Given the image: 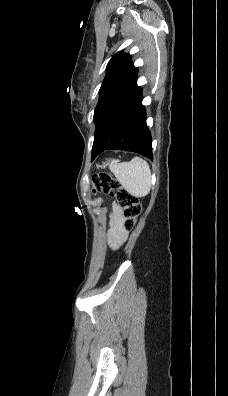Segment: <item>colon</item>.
Masks as SVG:
<instances>
[{
	"instance_id": "1",
	"label": "colon",
	"mask_w": 228,
	"mask_h": 396,
	"mask_svg": "<svg viewBox=\"0 0 228 396\" xmlns=\"http://www.w3.org/2000/svg\"><path fill=\"white\" fill-rule=\"evenodd\" d=\"M94 193H103L116 198L124 218V227L133 229L141 214L139 199L124 189L121 184L107 173H98L91 178Z\"/></svg>"
}]
</instances>
